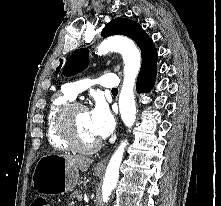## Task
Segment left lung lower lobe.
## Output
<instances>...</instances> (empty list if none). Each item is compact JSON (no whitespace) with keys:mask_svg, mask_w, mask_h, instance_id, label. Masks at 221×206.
I'll return each instance as SVG.
<instances>
[{"mask_svg":"<svg viewBox=\"0 0 221 206\" xmlns=\"http://www.w3.org/2000/svg\"><path fill=\"white\" fill-rule=\"evenodd\" d=\"M155 75H156V72H153L151 74H148L146 76L138 78L137 91L138 92H147V91H149L154 85Z\"/></svg>","mask_w":221,"mask_h":206,"instance_id":"obj_1","label":"left lung lower lobe"}]
</instances>
